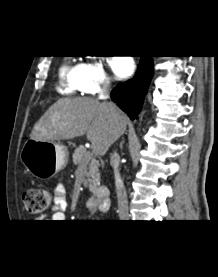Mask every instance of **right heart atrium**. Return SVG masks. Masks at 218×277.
I'll return each instance as SVG.
<instances>
[{
    "label": "right heart atrium",
    "mask_w": 218,
    "mask_h": 277,
    "mask_svg": "<svg viewBox=\"0 0 218 277\" xmlns=\"http://www.w3.org/2000/svg\"><path fill=\"white\" fill-rule=\"evenodd\" d=\"M78 83L83 93H93L109 85V77L99 60H89L80 64Z\"/></svg>",
    "instance_id": "d8ad5b80"
}]
</instances>
